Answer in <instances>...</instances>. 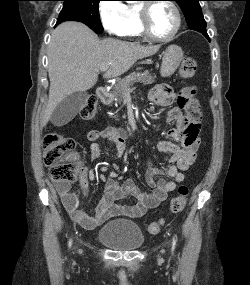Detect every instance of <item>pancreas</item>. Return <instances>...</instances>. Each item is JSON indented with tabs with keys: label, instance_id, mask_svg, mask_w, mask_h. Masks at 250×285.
Returning <instances> with one entry per match:
<instances>
[{
	"label": "pancreas",
	"instance_id": "cf45deb5",
	"mask_svg": "<svg viewBox=\"0 0 250 285\" xmlns=\"http://www.w3.org/2000/svg\"><path fill=\"white\" fill-rule=\"evenodd\" d=\"M140 82L144 85H150L154 83V77H152L148 71H145L143 73L139 72H132L129 75H127L124 79L119 81L114 89H113V95L116 102H122L125 93L130 90V87L135 83Z\"/></svg>",
	"mask_w": 250,
	"mask_h": 285
}]
</instances>
